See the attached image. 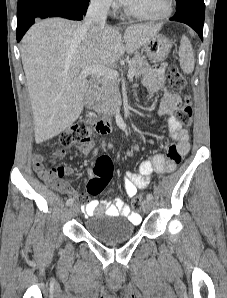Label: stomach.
<instances>
[{
    "mask_svg": "<svg viewBox=\"0 0 227 298\" xmlns=\"http://www.w3.org/2000/svg\"><path fill=\"white\" fill-rule=\"evenodd\" d=\"M171 47L172 44L167 37L161 34H156L143 45V51L147 54L150 60L154 62H162L167 58Z\"/></svg>",
    "mask_w": 227,
    "mask_h": 298,
    "instance_id": "stomach-1",
    "label": "stomach"
}]
</instances>
